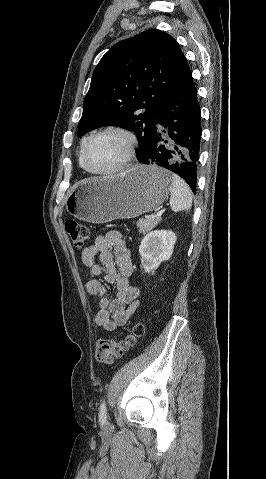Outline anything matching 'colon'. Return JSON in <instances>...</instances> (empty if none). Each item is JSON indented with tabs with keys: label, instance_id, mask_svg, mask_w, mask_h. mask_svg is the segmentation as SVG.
Listing matches in <instances>:
<instances>
[{
	"label": "colon",
	"instance_id": "1",
	"mask_svg": "<svg viewBox=\"0 0 266 479\" xmlns=\"http://www.w3.org/2000/svg\"><path fill=\"white\" fill-rule=\"evenodd\" d=\"M65 230L76 248H82L90 237L88 227L76 220H68ZM144 326L135 324L131 331L120 339H100L96 344L95 357L102 364H112L114 360L122 358L126 351L134 346L137 338L143 336Z\"/></svg>",
	"mask_w": 266,
	"mask_h": 479
}]
</instances>
